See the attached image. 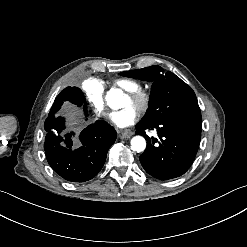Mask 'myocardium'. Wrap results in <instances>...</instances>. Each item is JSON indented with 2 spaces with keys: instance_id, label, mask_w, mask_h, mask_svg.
<instances>
[{
  "instance_id": "1",
  "label": "myocardium",
  "mask_w": 247,
  "mask_h": 247,
  "mask_svg": "<svg viewBox=\"0 0 247 247\" xmlns=\"http://www.w3.org/2000/svg\"><path fill=\"white\" fill-rule=\"evenodd\" d=\"M131 100L142 110L146 111L150 106V94L144 91H136L131 95Z\"/></svg>"
}]
</instances>
